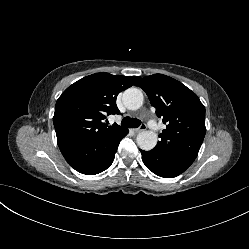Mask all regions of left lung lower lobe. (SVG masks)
Here are the masks:
<instances>
[{
	"label": "left lung lower lobe",
	"instance_id": "left-lung-lower-lobe-1",
	"mask_svg": "<svg viewBox=\"0 0 249 249\" xmlns=\"http://www.w3.org/2000/svg\"><path fill=\"white\" fill-rule=\"evenodd\" d=\"M142 161L145 166L154 174L172 178L183 173L195 160L194 158L182 155L168 154L164 152L140 150Z\"/></svg>",
	"mask_w": 249,
	"mask_h": 249
}]
</instances>
